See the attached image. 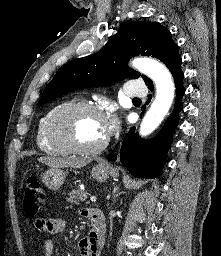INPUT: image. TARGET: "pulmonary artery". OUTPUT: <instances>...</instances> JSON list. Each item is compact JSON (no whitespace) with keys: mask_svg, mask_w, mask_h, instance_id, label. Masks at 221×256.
<instances>
[{"mask_svg":"<svg viewBox=\"0 0 221 256\" xmlns=\"http://www.w3.org/2000/svg\"><path fill=\"white\" fill-rule=\"evenodd\" d=\"M124 93L129 97H144L147 94V87L141 80H132L125 85Z\"/></svg>","mask_w":221,"mask_h":256,"instance_id":"obj_1","label":"pulmonary artery"}]
</instances>
